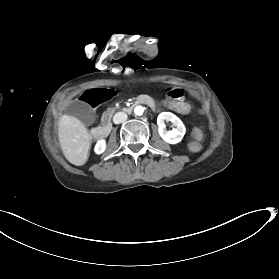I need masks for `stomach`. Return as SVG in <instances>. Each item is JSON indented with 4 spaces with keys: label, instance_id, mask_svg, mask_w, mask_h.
Segmentation results:
<instances>
[{
    "label": "stomach",
    "instance_id": "0dacf381",
    "mask_svg": "<svg viewBox=\"0 0 279 279\" xmlns=\"http://www.w3.org/2000/svg\"><path fill=\"white\" fill-rule=\"evenodd\" d=\"M161 105L165 109L170 108L172 105L174 110L181 111L183 113H187V112L192 113L194 111V107L192 105H190L188 102L182 101V100H176L172 104L170 99L165 98L162 100Z\"/></svg>",
    "mask_w": 279,
    "mask_h": 279
}]
</instances>
